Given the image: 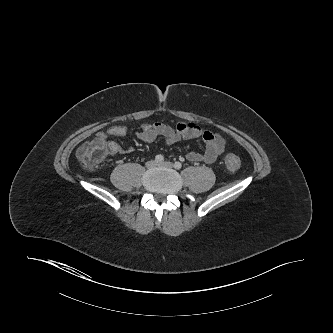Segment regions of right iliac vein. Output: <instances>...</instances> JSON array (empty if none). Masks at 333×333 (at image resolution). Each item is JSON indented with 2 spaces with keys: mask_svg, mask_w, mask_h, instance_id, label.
<instances>
[{
  "mask_svg": "<svg viewBox=\"0 0 333 333\" xmlns=\"http://www.w3.org/2000/svg\"><path fill=\"white\" fill-rule=\"evenodd\" d=\"M156 166H157V162L154 161V160H150V161H148V162L146 163V167H147V168H154V167H156Z\"/></svg>",
  "mask_w": 333,
  "mask_h": 333,
  "instance_id": "right-iliac-vein-1",
  "label": "right iliac vein"
}]
</instances>
